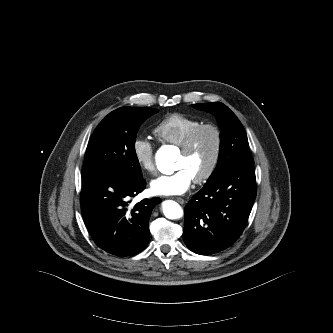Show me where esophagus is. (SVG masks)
Segmentation results:
<instances>
[{"mask_svg":"<svg viewBox=\"0 0 333 333\" xmlns=\"http://www.w3.org/2000/svg\"><path fill=\"white\" fill-rule=\"evenodd\" d=\"M175 200L180 204H184V199H182L180 197H176Z\"/></svg>","mask_w":333,"mask_h":333,"instance_id":"1","label":"esophagus"}]
</instances>
